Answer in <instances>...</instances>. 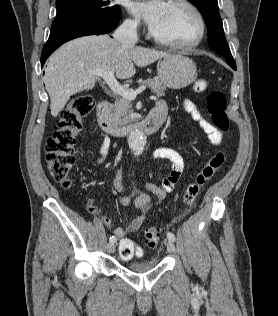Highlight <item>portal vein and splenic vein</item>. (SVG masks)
Masks as SVG:
<instances>
[{
    "label": "portal vein and splenic vein",
    "mask_w": 278,
    "mask_h": 316,
    "mask_svg": "<svg viewBox=\"0 0 278 316\" xmlns=\"http://www.w3.org/2000/svg\"><path fill=\"white\" fill-rule=\"evenodd\" d=\"M92 73L96 76L102 77L114 93H116V94H118V95H120L128 100L136 99V96L146 89L145 85H141L136 90L122 86L116 80V78L114 76V71H107V70L99 69V70H94Z\"/></svg>",
    "instance_id": "18ae733b"
}]
</instances>
